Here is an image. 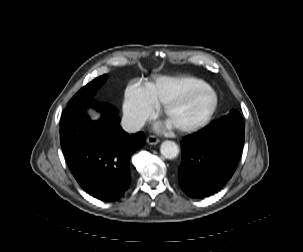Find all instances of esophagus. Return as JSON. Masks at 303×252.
<instances>
[{
    "instance_id": "1",
    "label": "esophagus",
    "mask_w": 303,
    "mask_h": 252,
    "mask_svg": "<svg viewBox=\"0 0 303 252\" xmlns=\"http://www.w3.org/2000/svg\"><path fill=\"white\" fill-rule=\"evenodd\" d=\"M160 142V140L157 138V137H155V136H149L148 138H147V143L148 144H151V145H156V144H158Z\"/></svg>"
}]
</instances>
